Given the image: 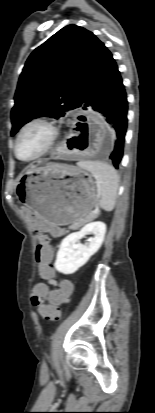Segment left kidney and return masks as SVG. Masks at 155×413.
<instances>
[{
    "label": "left kidney",
    "instance_id": "1",
    "mask_svg": "<svg viewBox=\"0 0 155 413\" xmlns=\"http://www.w3.org/2000/svg\"><path fill=\"white\" fill-rule=\"evenodd\" d=\"M106 233V225L101 221L86 224L79 232L66 236L57 252L55 269L63 274H73L85 265L101 247ZM88 234H93L88 245L79 241Z\"/></svg>",
    "mask_w": 155,
    "mask_h": 413
}]
</instances>
